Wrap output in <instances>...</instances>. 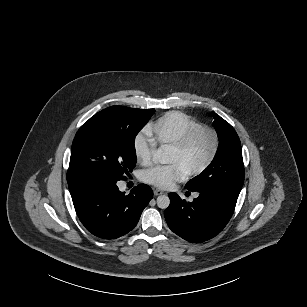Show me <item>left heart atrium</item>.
Wrapping results in <instances>:
<instances>
[{"instance_id":"obj_1","label":"left heart atrium","mask_w":307,"mask_h":307,"mask_svg":"<svg viewBox=\"0 0 307 307\" xmlns=\"http://www.w3.org/2000/svg\"><path fill=\"white\" fill-rule=\"evenodd\" d=\"M186 175L187 171L177 163L155 164L142 171V179L159 188H168Z\"/></svg>"}]
</instances>
